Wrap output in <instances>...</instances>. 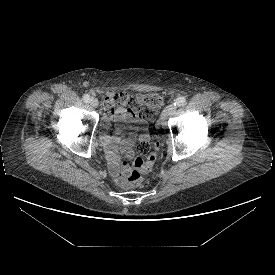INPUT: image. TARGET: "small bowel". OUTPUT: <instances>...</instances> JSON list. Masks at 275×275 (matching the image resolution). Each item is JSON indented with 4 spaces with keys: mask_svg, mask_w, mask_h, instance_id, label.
I'll use <instances>...</instances> for the list:
<instances>
[{
    "mask_svg": "<svg viewBox=\"0 0 275 275\" xmlns=\"http://www.w3.org/2000/svg\"><path fill=\"white\" fill-rule=\"evenodd\" d=\"M142 97L140 94L134 98L124 92H107L102 99L104 123L107 124L110 120H115L118 123L122 121H141V115L135 106V102H140ZM116 104H118V107H115ZM119 133L120 128L118 127L112 136L102 135V141L106 148L110 173L117 183L122 184L126 174L129 172V167L126 163H124L122 169L119 167L117 156L119 145L121 144V148L126 151L125 156L127 159H130L133 153L129 150L131 146L130 141L124 140L120 143Z\"/></svg>",
    "mask_w": 275,
    "mask_h": 275,
    "instance_id": "c3829d8e",
    "label": "small bowel"
}]
</instances>
